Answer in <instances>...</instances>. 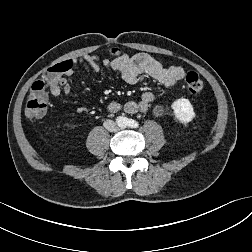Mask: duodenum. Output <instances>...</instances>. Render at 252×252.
<instances>
[{"label":"duodenum","mask_w":252,"mask_h":252,"mask_svg":"<svg viewBox=\"0 0 252 252\" xmlns=\"http://www.w3.org/2000/svg\"><path fill=\"white\" fill-rule=\"evenodd\" d=\"M109 110H110V111H117V110H119V108H118L116 105H111V106L109 107Z\"/></svg>","instance_id":"duodenum-1"}]
</instances>
